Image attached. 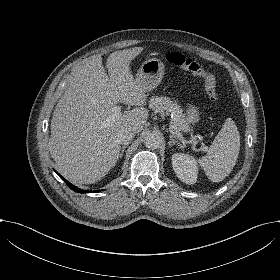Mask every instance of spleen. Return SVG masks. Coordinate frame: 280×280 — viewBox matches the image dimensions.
Returning a JSON list of instances; mask_svg holds the SVG:
<instances>
[{"mask_svg":"<svg viewBox=\"0 0 280 280\" xmlns=\"http://www.w3.org/2000/svg\"><path fill=\"white\" fill-rule=\"evenodd\" d=\"M239 152L240 134L235 122L228 118L200 164L213 182H220L232 171Z\"/></svg>","mask_w":280,"mask_h":280,"instance_id":"1","label":"spleen"}]
</instances>
